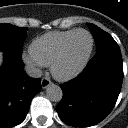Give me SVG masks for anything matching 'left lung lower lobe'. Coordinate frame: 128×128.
Segmentation results:
<instances>
[{
    "mask_svg": "<svg viewBox=\"0 0 128 128\" xmlns=\"http://www.w3.org/2000/svg\"><path fill=\"white\" fill-rule=\"evenodd\" d=\"M122 81L120 48L97 52L79 76L61 85L63 98L56 107L59 117L74 127L101 122L115 106Z\"/></svg>",
    "mask_w": 128,
    "mask_h": 128,
    "instance_id": "obj_1",
    "label": "left lung lower lobe"
}]
</instances>
